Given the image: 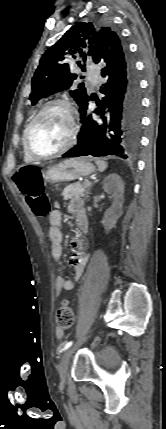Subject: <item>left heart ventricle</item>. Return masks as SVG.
I'll return each mask as SVG.
<instances>
[{
    "mask_svg": "<svg viewBox=\"0 0 166 429\" xmlns=\"http://www.w3.org/2000/svg\"><path fill=\"white\" fill-rule=\"evenodd\" d=\"M68 129L66 112L58 107L50 109L35 124L30 136V146L40 155L54 153L66 143Z\"/></svg>",
    "mask_w": 166,
    "mask_h": 429,
    "instance_id": "obj_1",
    "label": "left heart ventricle"
}]
</instances>
